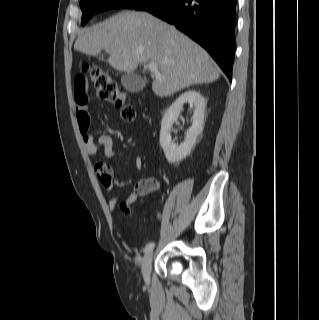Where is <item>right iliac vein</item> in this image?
Segmentation results:
<instances>
[{"label": "right iliac vein", "instance_id": "63e3f726", "mask_svg": "<svg viewBox=\"0 0 319 320\" xmlns=\"http://www.w3.org/2000/svg\"><path fill=\"white\" fill-rule=\"evenodd\" d=\"M152 259H153V252L152 251L146 252L145 255L143 256V259H142L141 271H142V275H143V278L146 283H148L149 279H150Z\"/></svg>", "mask_w": 319, "mask_h": 320}]
</instances>
